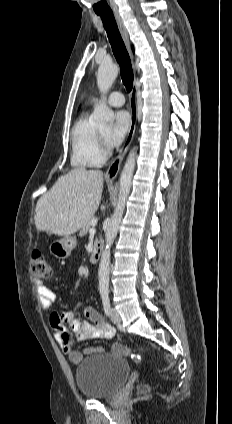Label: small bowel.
Masks as SVG:
<instances>
[{
  "label": "small bowel",
  "mask_w": 232,
  "mask_h": 424,
  "mask_svg": "<svg viewBox=\"0 0 232 424\" xmlns=\"http://www.w3.org/2000/svg\"><path fill=\"white\" fill-rule=\"evenodd\" d=\"M36 290L40 303L44 308H49L55 300L54 292L44 283L37 281ZM86 319L76 317L74 310L54 311L51 315V326L54 330L55 338L62 350L67 355L70 362L78 364L82 360V353L73 349L75 341L84 342L92 339H109L114 335L113 327L107 323L101 315L92 307L84 309ZM67 324V326L65 325ZM115 342L111 346V351L122 354V345L116 346ZM101 346H90L84 350L85 354L104 352Z\"/></svg>",
  "instance_id": "c3829d8e"
}]
</instances>
